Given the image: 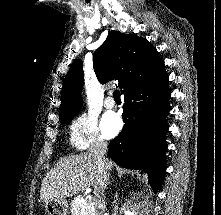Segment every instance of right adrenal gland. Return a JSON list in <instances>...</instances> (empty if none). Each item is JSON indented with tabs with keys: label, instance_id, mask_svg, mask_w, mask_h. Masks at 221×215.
I'll list each match as a JSON object with an SVG mask.
<instances>
[{
	"label": "right adrenal gland",
	"instance_id": "obj_1",
	"mask_svg": "<svg viewBox=\"0 0 221 215\" xmlns=\"http://www.w3.org/2000/svg\"><path fill=\"white\" fill-rule=\"evenodd\" d=\"M109 176H110V175L108 174V176H107V181H106V184L108 183V180H109Z\"/></svg>",
	"mask_w": 221,
	"mask_h": 215
}]
</instances>
